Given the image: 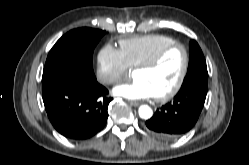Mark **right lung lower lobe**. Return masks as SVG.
<instances>
[{
	"mask_svg": "<svg viewBox=\"0 0 249 165\" xmlns=\"http://www.w3.org/2000/svg\"><path fill=\"white\" fill-rule=\"evenodd\" d=\"M97 80L61 67L44 68L42 96L54 128L74 140L92 137L104 128L112 98Z\"/></svg>",
	"mask_w": 249,
	"mask_h": 165,
	"instance_id": "1",
	"label": "right lung lower lobe"
}]
</instances>
